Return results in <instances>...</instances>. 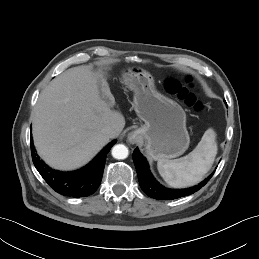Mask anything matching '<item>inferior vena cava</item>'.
Wrapping results in <instances>:
<instances>
[{
  "mask_svg": "<svg viewBox=\"0 0 259 259\" xmlns=\"http://www.w3.org/2000/svg\"><path fill=\"white\" fill-rule=\"evenodd\" d=\"M103 131L109 138H113L118 134L116 128L112 126L105 127Z\"/></svg>",
  "mask_w": 259,
  "mask_h": 259,
  "instance_id": "602c4592",
  "label": "inferior vena cava"
}]
</instances>
